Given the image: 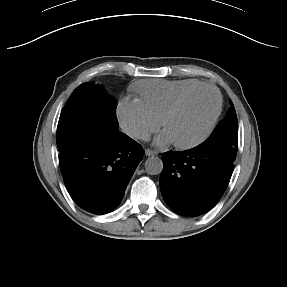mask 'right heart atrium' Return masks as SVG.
<instances>
[{"mask_svg":"<svg viewBox=\"0 0 287 287\" xmlns=\"http://www.w3.org/2000/svg\"><path fill=\"white\" fill-rule=\"evenodd\" d=\"M117 115L122 128L135 139H147L161 125V121L152 115L140 99L120 100Z\"/></svg>","mask_w":287,"mask_h":287,"instance_id":"right-heart-atrium-1","label":"right heart atrium"}]
</instances>
